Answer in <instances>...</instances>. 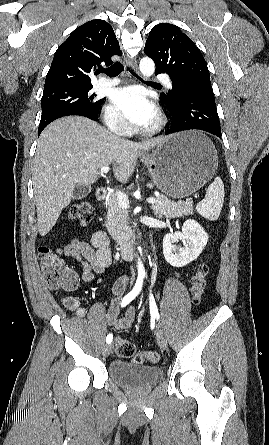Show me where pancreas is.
Here are the masks:
<instances>
[{"label": "pancreas", "mask_w": 269, "mask_h": 445, "mask_svg": "<svg viewBox=\"0 0 269 445\" xmlns=\"http://www.w3.org/2000/svg\"><path fill=\"white\" fill-rule=\"evenodd\" d=\"M157 202L152 205L154 214L159 218L165 216L167 218L182 217L183 215H191L194 213L192 202H174L160 195L155 197ZM108 209L106 214V228L112 238L119 244L125 243L129 240L128 227V210L123 208L118 200L117 193L109 195Z\"/></svg>", "instance_id": "1"}]
</instances>
